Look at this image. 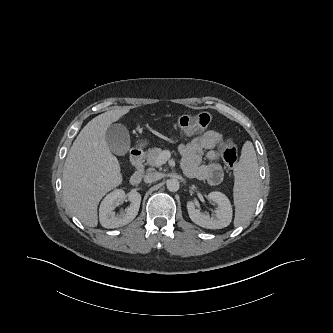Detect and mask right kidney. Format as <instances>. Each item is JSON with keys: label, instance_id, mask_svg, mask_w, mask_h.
Wrapping results in <instances>:
<instances>
[{"label": "right kidney", "instance_id": "obj_1", "mask_svg": "<svg viewBox=\"0 0 333 333\" xmlns=\"http://www.w3.org/2000/svg\"><path fill=\"white\" fill-rule=\"evenodd\" d=\"M131 202L125 212L116 214L114 209L125 199ZM141 203V195L131 191L127 195L122 189H116L109 193L101 202L99 208L100 223L105 228H118L130 223L138 214Z\"/></svg>", "mask_w": 333, "mask_h": 333}]
</instances>
